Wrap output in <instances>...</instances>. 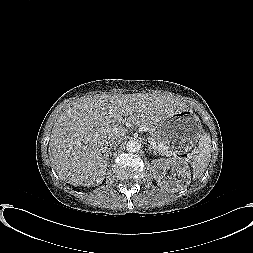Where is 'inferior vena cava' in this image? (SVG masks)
Listing matches in <instances>:
<instances>
[{
	"label": "inferior vena cava",
	"instance_id": "1",
	"mask_svg": "<svg viewBox=\"0 0 253 253\" xmlns=\"http://www.w3.org/2000/svg\"><path fill=\"white\" fill-rule=\"evenodd\" d=\"M114 140H115V141H112V142L110 143V146H111V147L117 146L118 143L121 141L120 139H117V138H115Z\"/></svg>",
	"mask_w": 253,
	"mask_h": 253
}]
</instances>
